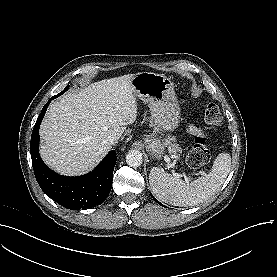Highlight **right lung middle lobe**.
I'll list each match as a JSON object with an SVG mask.
<instances>
[{"label":"right lung middle lobe","mask_w":277,"mask_h":277,"mask_svg":"<svg viewBox=\"0 0 277 277\" xmlns=\"http://www.w3.org/2000/svg\"><path fill=\"white\" fill-rule=\"evenodd\" d=\"M68 88H69V85H68L61 93H59V94L53 96L52 98H56V97H58L59 95H62L65 91L68 90Z\"/></svg>","instance_id":"dd1d6c3e"}]
</instances>
